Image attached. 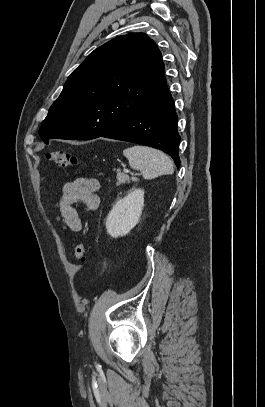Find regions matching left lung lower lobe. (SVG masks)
<instances>
[{
	"label": "left lung lower lobe",
	"mask_w": 265,
	"mask_h": 407,
	"mask_svg": "<svg viewBox=\"0 0 265 407\" xmlns=\"http://www.w3.org/2000/svg\"><path fill=\"white\" fill-rule=\"evenodd\" d=\"M178 117L168 88L154 101L101 137L151 146L168 153L180 165Z\"/></svg>",
	"instance_id": "0a47b994"
}]
</instances>
